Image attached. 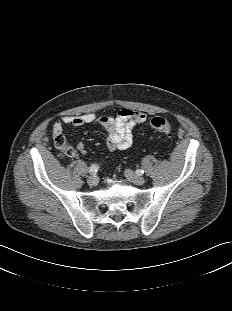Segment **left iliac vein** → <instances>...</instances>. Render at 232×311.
Masks as SVG:
<instances>
[{
  "label": "left iliac vein",
  "mask_w": 232,
  "mask_h": 311,
  "mask_svg": "<svg viewBox=\"0 0 232 311\" xmlns=\"http://www.w3.org/2000/svg\"><path fill=\"white\" fill-rule=\"evenodd\" d=\"M124 173L126 178L136 185H143L145 183L144 177L135 175L130 169H126Z\"/></svg>",
  "instance_id": "4c4485c4"
}]
</instances>
